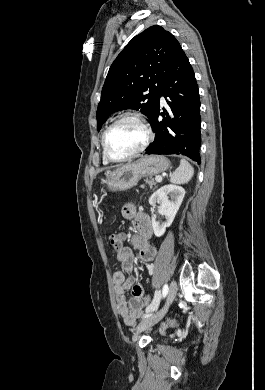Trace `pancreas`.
Returning a JSON list of instances; mask_svg holds the SVG:
<instances>
[{
  "label": "pancreas",
  "mask_w": 265,
  "mask_h": 390,
  "mask_svg": "<svg viewBox=\"0 0 265 390\" xmlns=\"http://www.w3.org/2000/svg\"><path fill=\"white\" fill-rule=\"evenodd\" d=\"M146 183H148V184H149V186H153V185H155V184H156L153 178L146 179Z\"/></svg>",
  "instance_id": "1"
}]
</instances>
